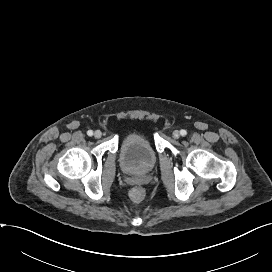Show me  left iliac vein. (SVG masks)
I'll return each instance as SVG.
<instances>
[{"mask_svg":"<svg viewBox=\"0 0 272 272\" xmlns=\"http://www.w3.org/2000/svg\"><path fill=\"white\" fill-rule=\"evenodd\" d=\"M173 137H174L175 139H178V138L180 137V133H179L178 130H175V131L173 132Z\"/></svg>","mask_w":272,"mask_h":272,"instance_id":"obj_1","label":"left iliac vein"}]
</instances>
